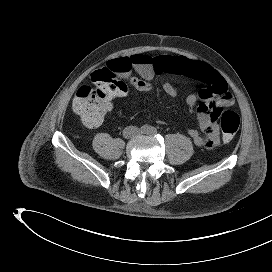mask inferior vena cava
I'll return each mask as SVG.
<instances>
[{"instance_id":"602c4592","label":"inferior vena cava","mask_w":272,"mask_h":272,"mask_svg":"<svg viewBox=\"0 0 272 272\" xmlns=\"http://www.w3.org/2000/svg\"><path fill=\"white\" fill-rule=\"evenodd\" d=\"M139 133V128L135 126H128L123 130L125 138L133 137Z\"/></svg>"}]
</instances>
